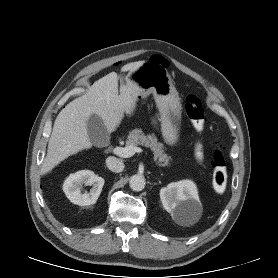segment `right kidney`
I'll return each instance as SVG.
<instances>
[{
	"mask_svg": "<svg viewBox=\"0 0 278 278\" xmlns=\"http://www.w3.org/2000/svg\"><path fill=\"white\" fill-rule=\"evenodd\" d=\"M104 179L90 170H81L71 174L63 184L67 198L76 205L87 206L95 204L104 185ZM92 185L90 192H81L82 185Z\"/></svg>",
	"mask_w": 278,
	"mask_h": 278,
	"instance_id": "ca27d5eb",
	"label": "right kidney"
}]
</instances>
